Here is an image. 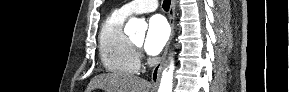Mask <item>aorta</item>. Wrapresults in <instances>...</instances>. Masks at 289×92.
I'll return each instance as SVG.
<instances>
[{"label":"aorta","instance_id":"762f6f07","mask_svg":"<svg viewBox=\"0 0 289 92\" xmlns=\"http://www.w3.org/2000/svg\"><path fill=\"white\" fill-rule=\"evenodd\" d=\"M146 28L147 24L144 20L131 18L125 26V32L129 33L134 32L135 30H145ZM173 72H174V63L173 61H171L169 67L164 69L162 72L158 92H172Z\"/></svg>","mask_w":289,"mask_h":92}]
</instances>
